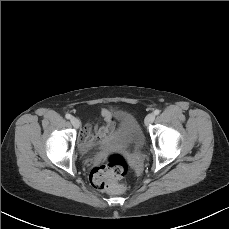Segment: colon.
Masks as SVG:
<instances>
[{
  "label": "colon",
  "instance_id": "1",
  "mask_svg": "<svg viewBox=\"0 0 229 229\" xmlns=\"http://www.w3.org/2000/svg\"><path fill=\"white\" fill-rule=\"evenodd\" d=\"M127 168V159L119 153H112L105 162L92 169L90 182L99 190L123 192L122 179L127 173Z\"/></svg>",
  "mask_w": 229,
  "mask_h": 229
}]
</instances>
